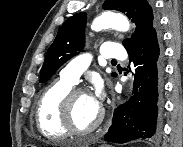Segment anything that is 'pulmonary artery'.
Here are the masks:
<instances>
[{"mask_svg": "<svg viewBox=\"0 0 183 147\" xmlns=\"http://www.w3.org/2000/svg\"><path fill=\"white\" fill-rule=\"evenodd\" d=\"M100 56L105 59H123L126 57L125 50L118 43H104L100 48ZM92 56L90 54H82L72 59L60 72L62 79L77 84L80 75L90 65Z\"/></svg>", "mask_w": 183, "mask_h": 147, "instance_id": "obj_1", "label": "pulmonary artery"}]
</instances>
